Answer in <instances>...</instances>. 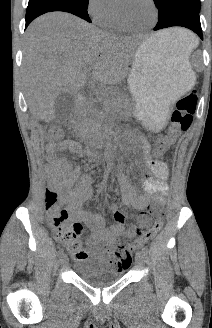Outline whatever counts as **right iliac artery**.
<instances>
[{"label":"right iliac artery","instance_id":"obj_1","mask_svg":"<svg viewBox=\"0 0 212 328\" xmlns=\"http://www.w3.org/2000/svg\"><path fill=\"white\" fill-rule=\"evenodd\" d=\"M63 255H64V250L62 248H60L58 251V256L62 257Z\"/></svg>","mask_w":212,"mask_h":328}]
</instances>
